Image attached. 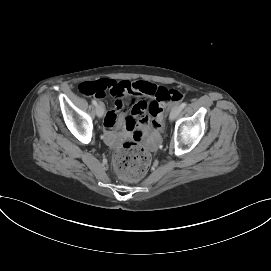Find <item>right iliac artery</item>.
I'll return each instance as SVG.
<instances>
[{"instance_id": "82829eb1", "label": "right iliac artery", "mask_w": 271, "mask_h": 271, "mask_svg": "<svg viewBox=\"0 0 271 271\" xmlns=\"http://www.w3.org/2000/svg\"><path fill=\"white\" fill-rule=\"evenodd\" d=\"M92 104L96 106L97 105V101L96 100H92Z\"/></svg>"}]
</instances>
